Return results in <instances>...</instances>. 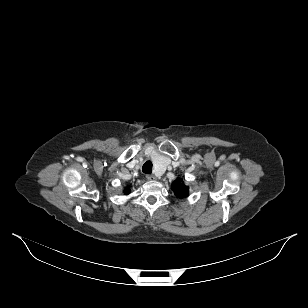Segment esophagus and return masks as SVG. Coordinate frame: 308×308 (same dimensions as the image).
Masks as SVG:
<instances>
[{
    "mask_svg": "<svg viewBox=\"0 0 308 308\" xmlns=\"http://www.w3.org/2000/svg\"><path fill=\"white\" fill-rule=\"evenodd\" d=\"M147 180H155L156 177L154 175L148 174L146 175Z\"/></svg>",
    "mask_w": 308,
    "mask_h": 308,
    "instance_id": "esophagus-1",
    "label": "esophagus"
}]
</instances>
